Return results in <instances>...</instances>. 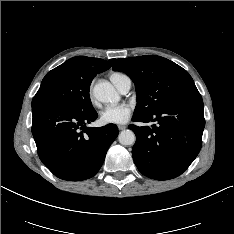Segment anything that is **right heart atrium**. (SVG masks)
<instances>
[{
    "label": "right heart atrium",
    "instance_id": "d8ad5b80",
    "mask_svg": "<svg viewBox=\"0 0 234 234\" xmlns=\"http://www.w3.org/2000/svg\"><path fill=\"white\" fill-rule=\"evenodd\" d=\"M88 96H89L90 102H91L92 104H95V99H94V96H93V93H92V86H91L90 89H89Z\"/></svg>",
    "mask_w": 234,
    "mask_h": 234
}]
</instances>
